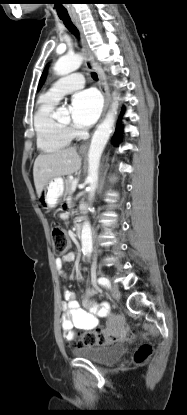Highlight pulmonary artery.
Segmentation results:
<instances>
[{"instance_id": "obj_1", "label": "pulmonary artery", "mask_w": 187, "mask_h": 415, "mask_svg": "<svg viewBox=\"0 0 187 415\" xmlns=\"http://www.w3.org/2000/svg\"><path fill=\"white\" fill-rule=\"evenodd\" d=\"M83 86V75L73 73L54 82L45 95L54 101H58L64 94L79 90Z\"/></svg>"}]
</instances>
